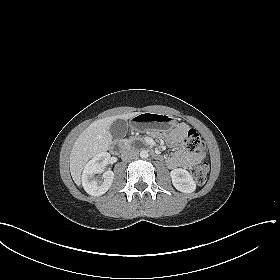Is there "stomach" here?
Listing matches in <instances>:
<instances>
[{
	"label": "stomach",
	"instance_id": "stomach-1",
	"mask_svg": "<svg viewBox=\"0 0 280 280\" xmlns=\"http://www.w3.org/2000/svg\"><path fill=\"white\" fill-rule=\"evenodd\" d=\"M176 126V119L168 114L143 112L132 117V127L142 129L154 127L161 132H169Z\"/></svg>",
	"mask_w": 280,
	"mask_h": 280
}]
</instances>
